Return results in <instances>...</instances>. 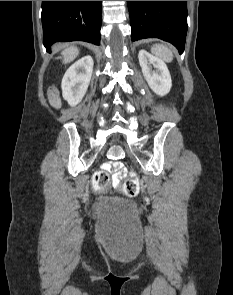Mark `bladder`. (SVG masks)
Segmentation results:
<instances>
[{
    "label": "bladder",
    "instance_id": "bladder-1",
    "mask_svg": "<svg viewBox=\"0 0 233 295\" xmlns=\"http://www.w3.org/2000/svg\"><path fill=\"white\" fill-rule=\"evenodd\" d=\"M96 208L100 216L106 220H133L135 218L133 204L121 198L102 196L99 198Z\"/></svg>",
    "mask_w": 233,
    "mask_h": 295
}]
</instances>
